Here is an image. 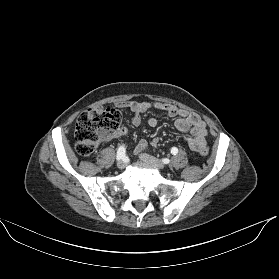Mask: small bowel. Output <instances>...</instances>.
Listing matches in <instances>:
<instances>
[{
    "mask_svg": "<svg viewBox=\"0 0 279 279\" xmlns=\"http://www.w3.org/2000/svg\"><path fill=\"white\" fill-rule=\"evenodd\" d=\"M118 108H128L132 113V124L139 126L142 122L141 114L151 110L159 109L163 110L170 117H177L175 121V126L179 131L187 132L190 131L191 136L186 138V142L192 151L198 152L201 148L206 147V138L208 136V130L205 122L194 113H190L186 110L179 109L171 104H161V103H151V102H139V101H120L116 103ZM150 127L157 126V119L155 117H150L147 121ZM128 133L125 127L119 129L115 134L117 136H126ZM159 143L158 138H154L151 142L153 147H156ZM147 143L142 140L136 148L137 152L146 149Z\"/></svg>",
    "mask_w": 279,
    "mask_h": 279,
    "instance_id": "1",
    "label": "small bowel"
}]
</instances>
